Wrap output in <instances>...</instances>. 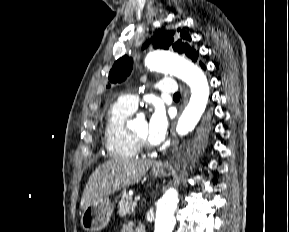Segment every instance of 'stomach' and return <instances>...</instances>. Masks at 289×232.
<instances>
[{"mask_svg": "<svg viewBox=\"0 0 289 232\" xmlns=\"http://www.w3.org/2000/svg\"><path fill=\"white\" fill-rule=\"evenodd\" d=\"M152 175L162 177L165 175L163 168H153ZM113 214V205L107 197L95 200L85 209L81 215V225L88 232H97L104 229Z\"/></svg>", "mask_w": 289, "mask_h": 232, "instance_id": "obj_1", "label": "stomach"}]
</instances>
